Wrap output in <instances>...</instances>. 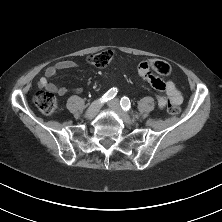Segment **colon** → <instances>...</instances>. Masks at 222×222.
I'll use <instances>...</instances> for the list:
<instances>
[{
    "instance_id": "1",
    "label": "colon",
    "mask_w": 222,
    "mask_h": 222,
    "mask_svg": "<svg viewBox=\"0 0 222 222\" xmlns=\"http://www.w3.org/2000/svg\"><path fill=\"white\" fill-rule=\"evenodd\" d=\"M114 58L115 54L113 51L103 50L89 56L88 62L95 67L103 68L108 66L114 60ZM143 67L150 69L153 74L163 77L169 76L171 73L170 65L164 60H149L145 62ZM34 103L37 108L47 116L53 115L58 107L55 95L47 90L38 91L34 96ZM167 109L170 114H177L179 112V108L171 102L168 103Z\"/></svg>"
}]
</instances>
